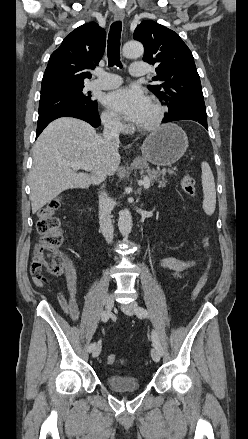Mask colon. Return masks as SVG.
<instances>
[{
	"label": "colon",
	"instance_id": "1",
	"mask_svg": "<svg viewBox=\"0 0 248 439\" xmlns=\"http://www.w3.org/2000/svg\"><path fill=\"white\" fill-rule=\"evenodd\" d=\"M183 191L189 196L194 197L196 193L195 179L186 174L182 181ZM61 205L59 198L52 199L38 212L37 231L40 235V240L35 247L34 262L42 270L44 269L48 274L53 276H60L64 271V263L59 248L64 241L63 229L56 212ZM205 249L209 248V240L206 236L202 240ZM208 271L201 275L193 293L192 299H196L207 283ZM108 364L117 362V357L109 354L106 357ZM124 362V361H123Z\"/></svg>",
	"mask_w": 248,
	"mask_h": 439
}]
</instances>
